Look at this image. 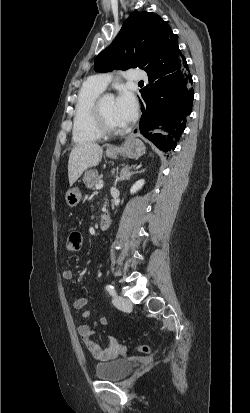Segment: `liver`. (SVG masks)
<instances>
[{
  "mask_svg": "<svg viewBox=\"0 0 250 413\" xmlns=\"http://www.w3.org/2000/svg\"><path fill=\"white\" fill-rule=\"evenodd\" d=\"M102 154L103 147L97 143H84L75 146L68 161L69 184L73 185L87 168L97 166Z\"/></svg>",
  "mask_w": 250,
  "mask_h": 413,
  "instance_id": "1",
  "label": "liver"
}]
</instances>
